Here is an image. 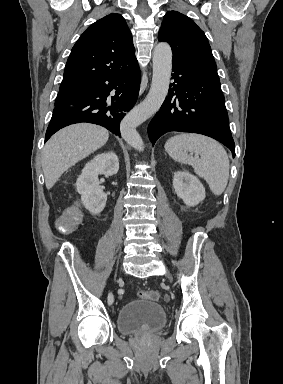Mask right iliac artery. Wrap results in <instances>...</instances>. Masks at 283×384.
<instances>
[{"instance_id":"obj_1","label":"right iliac artery","mask_w":283,"mask_h":384,"mask_svg":"<svg viewBox=\"0 0 283 384\" xmlns=\"http://www.w3.org/2000/svg\"><path fill=\"white\" fill-rule=\"evenodd\" d=\"M113 303V294L109 293L108 294V304L111 305Z\"/></svg>"}]
</instances>
